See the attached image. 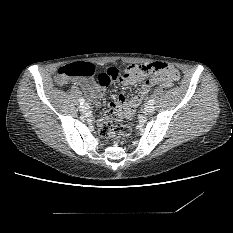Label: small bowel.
I'll use <instances>...</instances> for the list:
<instances>
[{"instance_id":"small-bowel-1","label":"small bowel","mask_w":233,"mask_h":233,"mask_svg":"<svg viewBox=\"0 0 233 233\" xmlns=\"http://www.w3.org/2000/svg\"><path fill=\"white\" fill-rule=\"evenodd\" d=\"M118 73L119 70L116 67H109L101 72L96 84L87 78L76 79L74 82L82 87L89 97L96 98L102 107L121 110L127 107H137L152 87H169L177 77V72L174 71L169 75L160 76L155 78L153 81L143 83L136 96L130 100L126 98L124 93H120L114 101H108L104 96V92L110 83L117 78ZM120 81L124 86H134L140 82V80L128 78L126 76L121 77Z\"/></svg>"}]
</instances>
